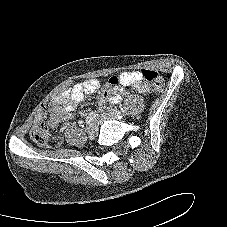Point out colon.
I'll list each match as a JSON object with an SVG mask.
<instances>
[{"label": "colon", "instance_id": "1", "mask_svg": "<svg viewBox=\"0 0 227 227\" xmlns=\"http://www.w3.org/2000/svg\"><path fill=\"white\" fill-rule=\"evenodd\" d=\"M142 78L149 83L152 89L156 92H160L164 89L165 80L163 76L155 71L146 69L142 72ZM119 83V78L117 76H112L108 79L107 84L108 86H115ZM53 104L50 101L45 102L42 105L43 111H49L52 108ZM31 137L33 141L40 145L45 146L48 144L50 135L48 131V127L44 122H39L32 130Z\"/></svg>", "mask_w": 227, "mask_h": 227}]
</instances>
